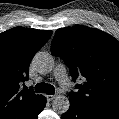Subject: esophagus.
<instances>
[{
	"mask_svg": "<svg viewBox=\"0 0 119 119\" xmlns=\"http://www.w3.org/2000/svg\"><path fill=\"white\" fill-rule=\"evenodd\" d=\"M55 98H56V95H47V100L48 101H52Z\"/></svg>",
	"mask_w": 119,
	"mask_h": 119,
	"instance_id": "1",
	"label": "esophagus"
}]
</instances>
